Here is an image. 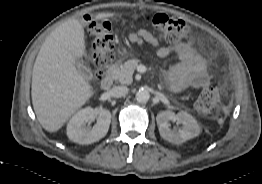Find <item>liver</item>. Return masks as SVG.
Segmentation results:
<instances>
[{"instance_id":"obj_1","label":"liver","mask_w":262,"mask_h":184,"mask_svg":"<svg viewBox=\"0 0 262 184\" xmlns=\"http://www.w3.org/2000/svg\"><path fill=\"white\" fill-rule=\"evenodd\" d=\"M114 15L102 12L94 20ZM85 54L84 29L77 19L59 25L40 48L33 67L31 96L37 119L48 132L58 131L94 94L75 67Z\"/></svg>"}]
</instances>
